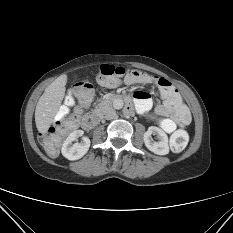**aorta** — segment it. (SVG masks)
I'll list each match as a JSON object with an SVG mask.
<instances>
[{"mask_svg":"<svg viewBox=\"0 0 233 233\" xmlns=\"http://www.w3.org/2000/svg\"><path fill=\"white\" fill-rule=\"evenodd\" d=\"M124 105V102L122 99H116L114 100L113 102V106L116 108V109H121Z\"/></svg>","mask_w":233,"mask_h":233,"instance_id":"762f6f07","label":"aorta"}]
</instances>
